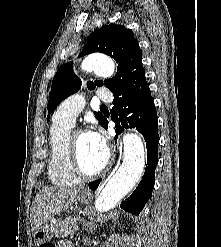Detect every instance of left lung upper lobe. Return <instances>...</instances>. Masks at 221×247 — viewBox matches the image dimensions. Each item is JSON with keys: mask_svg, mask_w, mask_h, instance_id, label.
Segmentation results:
<instances>
[{"mask_svg": "<svg viewBox=\"0 0 221 247\" xmlns=\"http://www.w3.org/2000/svg\"><path fill=\"white\" fill-rule=\"evenodd\" d=\"M93 52H101L113 57L118 67L112 79L104 82L95 81V83L89 81L88 89L93 90L96 85H105L116 99H127L150 90L142 65L141 50L131 30L117 24L101 27L88 40L79 57ZM80 87L81 80L74 74L72 62L62 65L52 81L48 113H52L62 100L76 93ZM94 114L103 125L106 118L100 112Z\"/></svg>", "mask_w": 221, "mask_h": 247, "instance_id": "left-lung-upper-lobe-1", "label": "left lung upper lobe"}]
</instances>
